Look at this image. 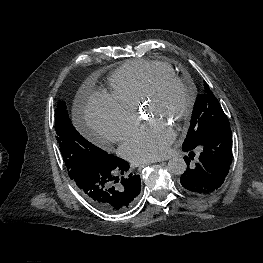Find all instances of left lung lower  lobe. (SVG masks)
<instances>
[{
  "instance_id": "obj_1",
  "label": "left lung lower lobe",
  "mask_w": 263,
  "mask_h": 263,
  "mask_svg": "<svg viewBox=\"0 0 263 263\" xmlns=\"http://www.w3.org/2000/svg\"><path fill=\"white\" fill-rule=\"evenodd\" d=\"M202 152L194 166V148ZM189 152L184 159L187 170L180 178L181 185L191 193L206 195L217 190L224 182L232 162V132L229 125L217 126L192 146H182Z\"/></svg>"
}]
</instances>
